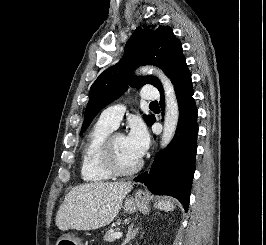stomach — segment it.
<instances>
[{"instance_id": "1", "label": "stomach", "mask_w": 266, "mask_h": 245, "mask_svg": "<svg viewBox=\"0 0 266 245\" xmlns=\"http://www.w3.org/2000/svg\"><path fill=\"white\" fill-rule=\"evenodd\" d=\"M147 199V193H144V191H137L135 197H126L122 209H124L125 213H128V215H132V213H136V211H140V213H144L145 215V213H149ZM60 241L68 242L70 245H83V239H80V237H77L74 233L64 235Z\"/></svg>"}]
</instances>
